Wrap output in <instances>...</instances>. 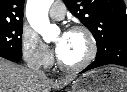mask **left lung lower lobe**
Listing matches in <instances>:
<instances>
[{
  "mask_svg": "<svg viewBox=\"0 0 127 92\" xmlns=\"http://www.w3.org/2000/svg\"><path fill=\"white\" fill-rule=\"evenodd\" d=\"M116 64L127 67V42H115L108 45L105 50L97 52L96 59L80 73L88 70L108 65Z\"/></svg>",
  "mask_w": 127,
  "mask_h": 92,
  "instance_id": "0a47b994",
  "label": "left lung lower lobe"
}]
</instances>
